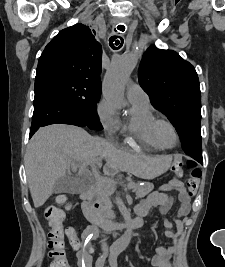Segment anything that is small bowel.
<instances>
[{"instance_id":"c3829d8e","label":"small bowel","mask_w":225,"mask_h":267,"mask_svg":"<svg viewBox=\"0 0 225 267\" xmlns=\"http://www.w3.org/2000/svg\"><path fill=\"white\" fill-rule=\"evenodd\" d=\"M175 190L179 196V209L175 219L176 228L179 230L182 226L181 217L187 215L190 211V196L183 182L178 178H173L168 183L164 184L160 190L151 193L147 196L140 205L136 207L137 218L143 217L152 209H157L163 214V222L165 226L164 235L171 239H177V233L173 231L174 224L167 218L166 214L173 205V198L167 192ZM93 232L92 227H88L84 233L83 238L88 242ZM86 242V243H87ZM79 263L90 266L92 248L90 246H81L74 248ZM175 251L174 247H157L156 254L151 259V264L154 267H171V256Z\"/></svg>"}]
</instances>
